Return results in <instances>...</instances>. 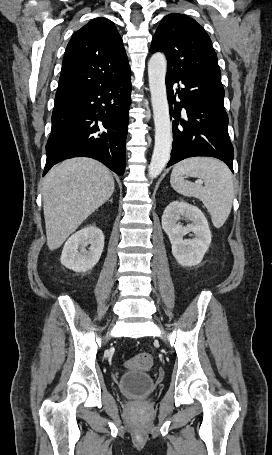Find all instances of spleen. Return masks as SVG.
I'll list each match as a JSON object with an SVG mask.
<instances>
[{"mask_svg":"<svg viewBox=\"0 0 272 455\" xmlns=\"http://www.w3.org/2000/svg\"><path fill=\"white\" fill-rule=\"evenodd\" d=\"M189 176L203 179L205 185L185 180ZM170 183L179 194L200 199L216 228L225 223L232 208L234 186L232 173L223 162L208 157L185 159L174 166Z\"/></svg>","mask_w":272,"mask_h":455,"instance_id":"1","label":"spleen"}]
</instances>
